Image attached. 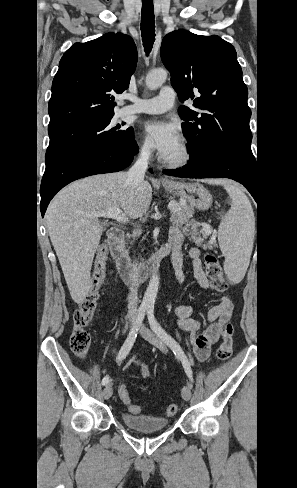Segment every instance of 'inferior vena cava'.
<instances>
[{
	"label": "inferior vena cava",
	"mask_w": 297,
	"mask_h": 488,
	"mask_svg": "<svg viewBox=\"0 0 297 488\" xmlns=\"http://www.w3.org/2000/svg\"><path fill=\"white\" fill-rule=\"evenodd\" d=\"M151 155L150 147L144 145L134 165L127 172L128 181L132 185H139L144 181L145 172ZM139 273L137 264L133 266L131 273V285L128 294V317H136L138 312V288Z\"/></svg>",
	"instance_id": "1"
}]
</instances>
